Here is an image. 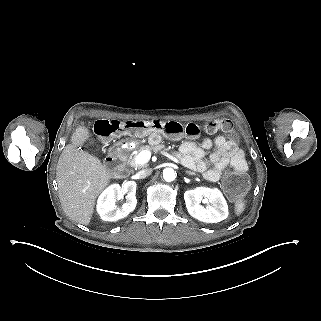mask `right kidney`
I'll return each mask as SVG.
<instances>
[{
  "label": "right kidney",
  "instance_id": "obj_1",
  "mask_svg": "<svg viewBox=\"0 0 321 321\" xmlns=\"http://www.w3.org/2000/svg\"><path fill=\"white\" fill-rule=\"evenodd\" d=\"M126 195V203L117 207L116 201ZM136 182L125 181L122 187L119 184H112L107 187L97 200V212L104 221H117L126 217L132 212L137 204Z\"/></svg>",
  "mask_w": 321,
  "mask_h": 321
}]
</instances>
